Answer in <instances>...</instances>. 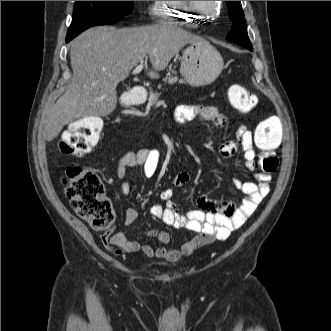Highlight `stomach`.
Returning <instances> with one entry per match:
<instances>
[{"mask_svg": "<svg viewBox=\"0 0 331 331\" xmlns=\"http://www.w3.org/2000/svg\"><path fill=\"white\" fill-rule=\"evenodd\" d=\"M220 53L206 40L190 43L181 57L180 73L192 86L212 83L223 70Z\"/></svg>", "mask_w": 331, "mask_h": 331, "instance_id": "obj_1", "label": "stomach"}]
</instances>
